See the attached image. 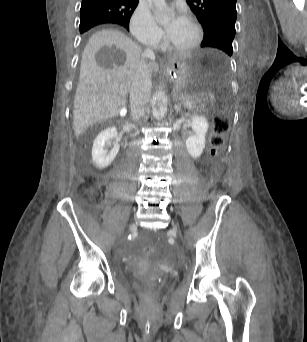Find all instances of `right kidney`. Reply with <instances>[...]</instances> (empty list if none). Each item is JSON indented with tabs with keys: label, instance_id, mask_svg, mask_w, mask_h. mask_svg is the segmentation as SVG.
Listing matches in <instances>:
<instances>
[{
	"label": "right kidney",
	"instance_id": "ca27d5eb",
	"mask_svg": "<svg viewBox=\"0 0 307 342\" xmlns=\"http://www.w3.org/2000/svg\"><path fill=\"white\" fill-rule=\"evenodd\" d=\"M111 138H118L117 128H107V130H103L93 142L92 160L93 164H95V168H98V170L108 168L120 150V144H114V148H112L110 152L104 150Z\"/></svg>",
	"mask_w": 307,
	"mask_h": 342
}]
</instances>
